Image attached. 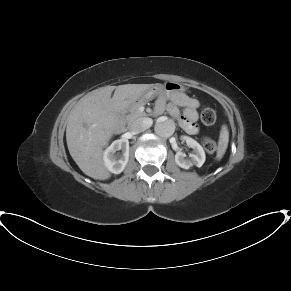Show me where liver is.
<instances>
[{"instance_id":"1","label":"liver","mask_w":291,"mask_h":291,"mask_svg":"<svg viewBox=\"0 0 291 291\" xmlns=\"http://www.w3.org/2000/svg\"><path fill=\"white\" fill-rule=\"evenodd\" d=\"M151 86L126 84L101 87L82 97L70 111L66 127L67 146L84 174L98 180L110 178L103 160V148L119 126L117 112L142 98Z\"/></svg>"}]
</instances>
